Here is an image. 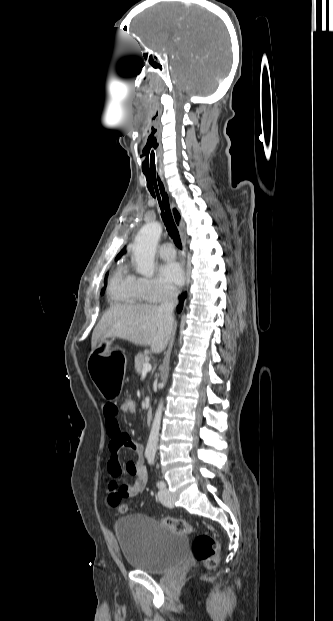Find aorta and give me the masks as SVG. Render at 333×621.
<instances>
[{
  "mask_svg": "<svg viewBox=\"0 0 333 621\" xmlns=\"http://www.w3.org/2000/svg\"><path fill=\"white\" fill-rule=\"evenodd\" d=\"M161 233V224L158 222H151L145 224L135 238L133 249L137 263V271L146 277H149L152 274L156 246L160 239ZM162 411L163 401L161 400L157 407L150 430L149 439L145 449L146 457L155 456L159 440Z\"/></svg>",
  "mask_w": 333,
  "mask_h": 621,
  "instance_id": "762f6f07",
  "label": "aorta"
}]
</instances>
